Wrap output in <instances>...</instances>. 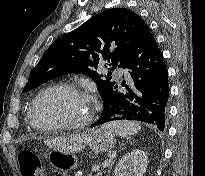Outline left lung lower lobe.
<instances>
[{"label":"left lung lower lobe","mask_w":205,"mask_h":176,"mask_svg":"<svg viewBox=\"0 0 205 176\" xmlns=\"http://www.w3.org/2000/svg\"><path fill=\"white\" fill-rule=\"evenodd\" d=\"M121 67L129 70L133 85L129 87L122 81L126 91L120 93L115 84L104 98L100 119L90 127L118 120H140L163 131L169 98L168 71L148 25L124 56Z\"/></svg>","instance_id":"0a47b994"}]
</instances>
